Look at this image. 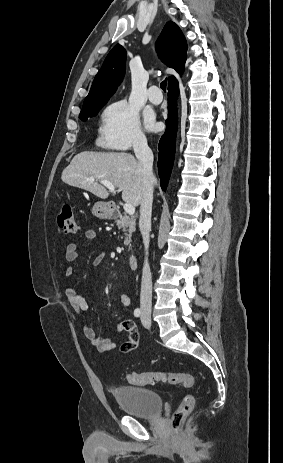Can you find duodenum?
Masks as SVG:
<instances>
[{
    "label": "duodenum",
    "instance_id": "duodenum-1",
    "mask_svg": "<svg viewBox=\"0 0 283 463\" xmlns=\"http://www.w3.org/2000/svg\"><path fill=\"white\" fill-rule=\"evenodd\" d=\"M109 215L112 218H116L119 215V209L116 205L109 203L107 205ZM129 266L132 270H136L138 268V258L137 256H130L129 257Z\"/></svg>",
    "mask_w": 283,
    "mask_h": 463
}]
</instances>
